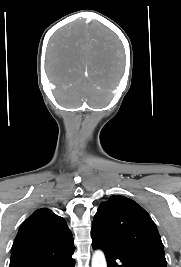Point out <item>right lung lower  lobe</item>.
<instances>
[{"label": "right lung lower lobe", "mask_w": 181, "mask_h": 267, "mask_svg": "<svg viewBox=\"0 0 181 267\" xmlns=\"http://www.w3.org/2000/svg\"><path fill=\"white\" fill-rule=\"evenodd\" d=\"M73 252L74 250L55 255L48 259L15 261L11 262L9 267H74L75 261L72 258Z\"/></svg>", "instance_id": "1"}]
</instances>
